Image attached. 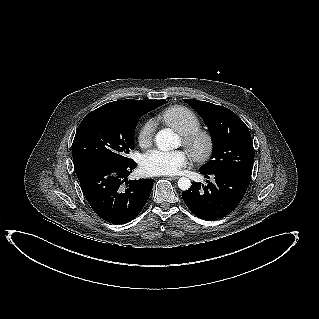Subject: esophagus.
Returning <instances> with one entry per match:
<instances>
[{
  "mask_svg": "<svg viewBox=\"0 0 319 319\" xmlns=\"http://www.w3.org/2000/svg\"><path fill=\"white\" fill-rule=\"evenodd\" d=\"M167 178L170 179V180H176V179H178L179 177H178V176H168Z\"/></svg>",
  "mask_w": 319,
  "mask_h": 319,
  "instance_id": "34e87169",
  "label": "esophagus"
}]
</instances>
